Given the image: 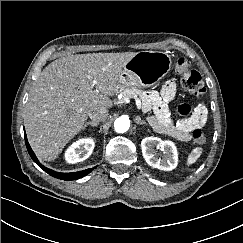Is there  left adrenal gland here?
Returning a JSON list of instances; mask_svg holds the SVG:
<instances>
[{
  "label": "left adrenal gland",
  "instance_id": "1",
  "mask_svg": "<svg viewBox=\"0 0 243 243\" xmlns=\"http://www.w3.org/2000/svg\"><path fill=\"white\" fill-rule=\"evenodd\" d=\"M135 121H136L137 124H140V125L145 124V125H147V123L145 121L141 120V118L139 116H136Z\"/></svg>",
  "mask_w": 243,
  "mask_h": 243
}]
</instances>
